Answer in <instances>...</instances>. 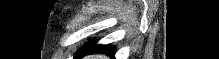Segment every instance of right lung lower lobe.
<instances>
[{
	"instance_id": "1",
	"label": "right lung lower lobe",
	"mask_w": 219,
	"mask_h": 59,
	"mask_svg": "<svg viewBox=\"0 0 219 59\" xmlns=\"http://www.w3.org/2000/svg\"><path fill=\"white\" fill-rule=\"evenodd\" d=\"M92 53H102L109 56H113L115 54V48L111 45H95L91 50L80 55L78 59L82 58L87 54H92Z\"/></svg>"
}]
</instances>
